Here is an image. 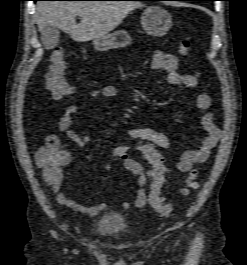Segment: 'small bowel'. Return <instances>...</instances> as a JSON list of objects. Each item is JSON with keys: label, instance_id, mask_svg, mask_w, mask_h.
<instances>
[{"label": "small bowel", "instance_id": "c3829d8e", "mask_svg": "<svg viewBox=\"0 0 247 265\" xmlns=\"http://www.w3.org/2000/svg\"><path fill=\"white\" fill-rule=\"evenodd\" d=\"M151 67L154 71L165 72L166 80L172 86L195 88L198 85V80L194 75L183 74L179 71L178 58L173 54L156 51L152 58ZM118 93L119 89L117 86L108 85L103 88L93 90L91 92V96L94 98H112L117 96ZM194 105L198 109L206 111L201 121L206 135L195 149L185 151L181 154L175 164L176 169L180 172H189L195 164L205 162L209 158L211 151L218 144L221 137V132L214 123V113L211 111V97L208 94H198L195 97ZM78 110L79 106L77 104L68 106L65 114L59 120L58 129L69 140L82 147L89 141V137L81 131L72 128V115ZM127 134L130 138L139 140L141 143H149L162 149H169L171 146L170 139L165 134L151 128L134 126L127 130ZM45 148L51 151H60L64 156V166L56 170H50L44 167L39 158L36 157L37 165L43 169L45 179L50 185L52 191L56 194L58 202L74 211L89 216H96L105 211L107 209V204L104 202L86 206L80 201L69 198L62 191L64 181L63 169L65 166L70 164L72 158L68 151L61 148L59 137L56 135L48 136L45 141ZM124 167L136 178L138 190L134 204L138 208H144L147 204V177L144 167L139 161L132 158L125 159ZM109 168L110 163H106L103 170H108ZM131 206V201L125 200L122 202V207L124 209H129Z\"/></svg>", "mask_w": 247, "mask_h": 265}]
</instances>
